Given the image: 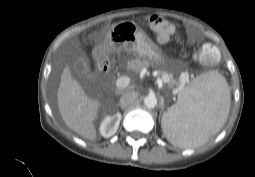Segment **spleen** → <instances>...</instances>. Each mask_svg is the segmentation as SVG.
I'll use <instances>...</instances> for the list:
<instances>
[{
	"mask_svg": "<svg viewBox=\"0 0 255 177\" xmlns=\"http://www.w3.org/2000/svg\"><path fill=\"white\" fill-rule=\"evenodd\" d=\"M230 91L215 71L198 76L162 117V130L173 145L187 148L204 144L227 120Z\"/></svg>",
	"mask_w": 255,
	"mask_h": 177,
	"instance_id": "obj_1",
	"label": "spleen"
}]
</instances>
